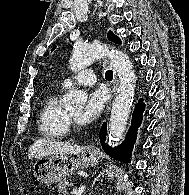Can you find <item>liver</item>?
Wrapping results in <instances>:
<instances>
[{
    "label": "liver",
    "instance_id": "obj_1",
    "mask_svg": "<svg viewBox=\"0 0 189 195\" xmlns=\"http://www.w3.org/2000/svg\"><path fill=\"white\" fill-rule=\"evenodd\" d=\"M84 149L83 146L43 138L34 141L29 147L28 156L39 159L48 155H76Z\"/></svg>",
    "mask_w": 189,
    "mask_h": 195
}]
</instances>
